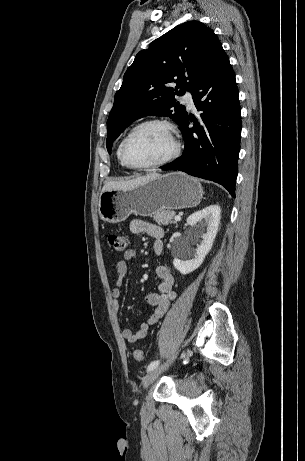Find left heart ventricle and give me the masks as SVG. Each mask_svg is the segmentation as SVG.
Masks as SVG:
<instances>
[{
  "label": "left heart ventricle",
  "mask_w": 305,
  "mask_h": 461,
  "mask_svg": "<svg viewBox=\"0 0 305 461\" xmlns=\"http://www.w3.org/2000/svg\"><path fill=\"white\" fill-rule=\"evenodd\" d=\"M173 150L170 134L161 126H147L129 141L128 155L136 164H150L168 156Z\"/></svg>",
  "instance_id": "obj_1"
}]
</instances>
